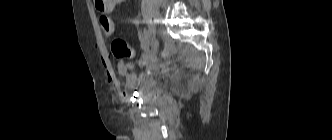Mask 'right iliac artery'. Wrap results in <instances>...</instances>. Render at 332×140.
Segmentation results:
<instances>
[{
    "label": "right iliac artery",
    "instance_id": "1",
    "mask_svg": "<svg viewBox=\"0 0 332 140\" xmlns=\"http://www.w3.org/2000/svg\"><path fill=\"white\" fill-rule=\"evenodd\" d=\"M151 28H152L151 23H148V25L145 27L143 31V40L146 44H148L149 42Z\"/></svg>",
    "mask_w": 332,
    "mask_h": 140
}]
</instances>
